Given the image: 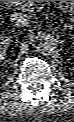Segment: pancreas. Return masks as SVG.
I'll return each instance as SVG.
<instances>
[{
    "label": "pancreas",
    "instance_id": "cf45deb5",
    "mask_svg": "<svg viewBox=\"0 0 74 122\" xmlns=\"http://www.w3.org/2000/svg\"><path fill=\"white\" fill-rule=\"evenodd\" d=\"M33 3L34 1H14V4L23 10H26V8H30Z\"/></svg>",
    "mask_w": 74,
    "mask_h": 122
}]
</instances>
